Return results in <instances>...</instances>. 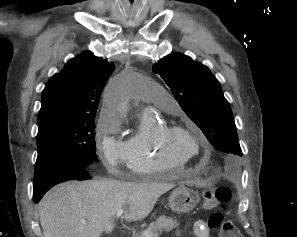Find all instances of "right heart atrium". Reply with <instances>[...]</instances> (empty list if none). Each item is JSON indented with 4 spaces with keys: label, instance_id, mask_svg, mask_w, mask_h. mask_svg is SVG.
<instances>
[{
    "label": "right heart atrium",
    "instance_id": "d8ad5b80",
    "mask_svg": "<svg viewBox=\"0 0 297 237\" xmlns=\"http://www.w3.org/2000/svg\"><path fill=\"white\" fill-rule=\"evenodd\" d=\"M97 149L104 164L112 172L126 163V141L120 136V121L111 109H104L99 117L96 128Z\"/></svg>",
    "mask_w": 297,
    "mask_h": 237
}]
</instances>
